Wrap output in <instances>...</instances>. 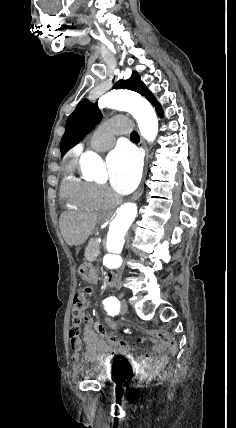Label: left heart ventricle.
Wrapping results in <instances>:
<instances>
[{"label":"left heart ventricle","mask_w":236,"mask_h":428,"mask_svg":"<svg viewBox=\"0 0 236 428\" xmlns=\"http://www.w3.org/2000/svg\"><path fill=\"white\" fill-rule=\"evenodd\" d=\"M96 182H102L103 181V178H97L96 180H95Z\"/></svg>","instance_id":"obj_1"}]
</instances>
